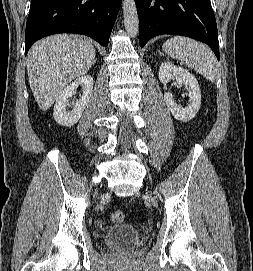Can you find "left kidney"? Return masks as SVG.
<instances>
[{
    "label": "left kidney",
    "mask_w": 253,
    "mask_h": 271,
    "mask_svg": "<svg viewBox=\"0 0 253 271\" xmlns=\"http://www.w3.org/2000/svg\"><path fill=\"white\" fill-rule=\"evenodd\" d=\"M175 79L177 83L184 84L188 90L189 104L186 107L178 106L175 103L172 93L164 94V101L175 117L181 122H187L195 117L201 105V92L198 81L186 69L169 62H164L159 68V80L163 84Z\"/></svg>",
    "instance_id": "left-kidney-1"
}]
</instances>
